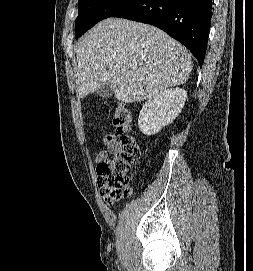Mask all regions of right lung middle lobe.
Returning a JSON list of instances; mask_svg holds the SVG:
<instances>
[{"label": "right lung middle lobe", "mask_w": 253, "mask_h": 271, "mask_svg": "<svg viewBox=\"0 0 253 271\" xmlns=\"http://www.w3.org/2000/svg\"><path fill=\"white\" fill-rule=\"evenodd\" d=\"M129 0H79L75 37L79 38L97 22L112 17Z\"/></svg>", "instance_id": "obj_1"}]
</instances>
